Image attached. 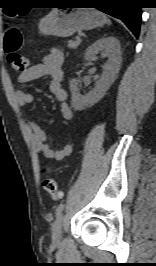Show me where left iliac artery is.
I'll use <instances>...</instances> for the list:
<instances>
[{
  "mask_svg": "<svg viewBox=\"0 0 156 266\" xmlns=\"http://www.w3.org/2000/svg\"><path fill=\"white\" fill-rule=\"evenodd\" d=\"M63 209H64V204L63 203L59 204L56 209V215L59 216L61 212L63 211Z\"/></svg>",
  "mask_w": 156,
  "mask_h": 266,
  "instance_id": "left-iliac-artery-1",
  "label": "left iliac artery"
}]
</instances>
